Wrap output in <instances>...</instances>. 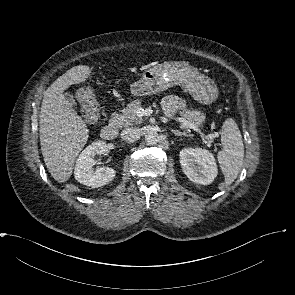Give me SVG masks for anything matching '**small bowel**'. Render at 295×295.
Masks as SVG:
<instances>
[{"label": "small bowel", "mask_w": 295, "mask_h": 295, "mask_svg": "<svg viewBox=\"0 0 295 295\" xmlns=\"http://www.w3.org/2000/svg\"><path fill=\"white\" fill-rule=\"evenodd\" d=\"M162 107L168 116H172L176 112L182 110L185 107V103L180 97L169 95L163 99Z\"/></svg>", "instance_id": "c3829d8e"}]
</instances>
